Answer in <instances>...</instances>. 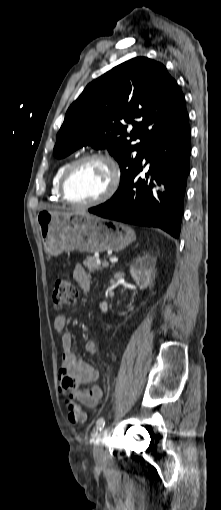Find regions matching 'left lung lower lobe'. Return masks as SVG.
Segmentation results:
<instances>
[{
  "instance_id": "0a47b994",
  "label": "left lung lower lobe",
  "mask_w": 221,
  "mask_h": 510,
  "mask_svg": "<svg viewBox=\"0 0 221 510\" xmlns=\"http://www.w3.org/2000/svg\"><path fill=\"white\" fill-rule=\"evenodd\" d=\"M190 136L187 122L154 140L124 190L89 212L125 223L158 227L178 238L190 172ZM148 162L149 171L142 178L141 172ZM160 183L166 191L158 192L156 197L155 188Z\"/></svg>"
}]
</instances>
